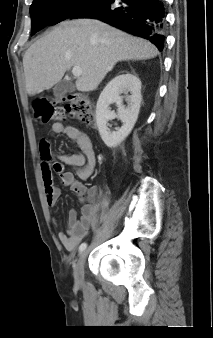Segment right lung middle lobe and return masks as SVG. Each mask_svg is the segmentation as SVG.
<instances>
[{"instance_id": "right-lung-middle-lobe-1", "label": "right lung middle lobe", "mask_w": 213, "mask_h": 338, "mask_svg": "<svg viewBox=\"0 0 213 338\" xmlns=\"http://www.w3.org/2000/svg\"><path fill=\"white\" fill-rule=\"evenodd\" d=\"M95 0H34L30 7L31 32L55 25L70 18Z\"/></svg>"}]
</instances>
